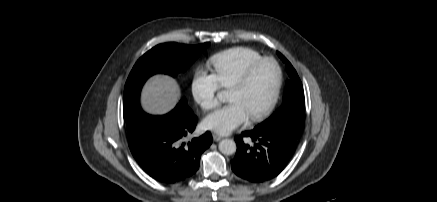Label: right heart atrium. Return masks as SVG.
Here are the masks:
<instances>
[{"label": "right heart atrium", "mask_w": 437, "mask_h": 202, "mask_svg": "<svg viewBox=\"0 0 437 202\" xmlns=\"http://www.w3.org/2000/svg\"><path fill=\"white\" fill-rule=\"evenodd\" d=\"M220 88L214 73L208 72L203 67L195 70L191 81V94L203 110H211L217 106V94Z\"/></svg>", "instance_id": "d8ad5b80"}]
</instances>
